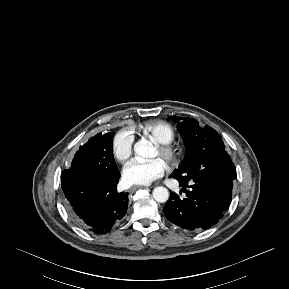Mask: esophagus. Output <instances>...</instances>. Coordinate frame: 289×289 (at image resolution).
Returning <instances> with one entry per match:
<instances>
[{"label":"esophagus","instance_id":"obj_1","mask_svg":"<svg viewBox=\"0 0 289 289\" xmlns=\"http://www.w3.org/2000/svg\"><path fill=\"white\" fill-rule=\"evenodd\" d=\"M140 188H143V186H132V187L130 188V191H131V192H135L136 190H138V189H140Z\"/></svg>","mask_w":289,"mask_h":289}]
</instances>
